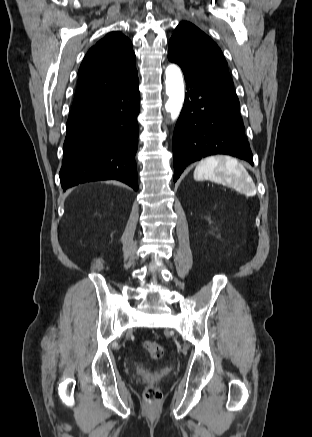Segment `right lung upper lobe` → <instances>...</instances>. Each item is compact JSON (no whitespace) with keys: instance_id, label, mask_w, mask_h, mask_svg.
I'll use <instances>...</instances> for the list:
<instances>
[{"instance_id":"right-lung-upper-lobe-1","label":"right lung upper lobe","mask_w":312,"mask_h":437,"mask_svg":"<svg viewBox=\"0 0 312 437\" xmlns=\"http://www.w3.org/2000/svg\"><path fill=\"white\" fill-rule=\"evenodd\" d=\"M137 75L130 40L118 31L108 33L88 51L80 65L71 111L114 94Z\"/></svg>"}]
</instances>
